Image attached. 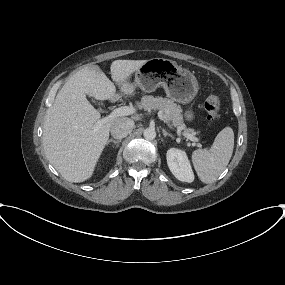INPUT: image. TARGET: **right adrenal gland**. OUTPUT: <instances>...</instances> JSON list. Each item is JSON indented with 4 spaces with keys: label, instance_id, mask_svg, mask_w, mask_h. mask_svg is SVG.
<instances>
[{
    "label": "right adrenal gland",
    "instance_id": "obj_1",
    "mask_svg": "<svg viewBox=\"0 0 285 285\" xmlns=\"http://www.w3.org/2000/svg\"><path fill=\"white\" fill-rule=\"evenodd\" d=\"M121 142V140L120 139H118V140H115V139H109L108 141H107V145L108 144H110V143H114V144H119Z\"/></svg>",
    "mask_w": 285,
    "mask_h": 285
}]
</instances>
